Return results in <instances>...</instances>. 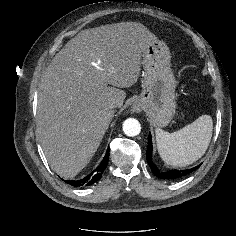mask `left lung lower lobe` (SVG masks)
<instances>
[{"label":"left lung lower lobe","instance_id":"obj_1","mask_svg":"<svg viewBox=\"0 0 236 236\" xmlns=\"http://www.w3.org/2000/svg\"><path fill=\"white\" fill-rule=\"evenodd\" d=\"M151 156H152V138H151V134L149 133L146 158H147V162H148L151 170L158 178H161L164 180H176V179H179V178L193 172L194 170H196L200 166L199 165L194 168L187 169V170H170V171L162 172V171H159L157 166L153 163Z\"/></svg>","mask_w":236,"mask_h":236}]
</instances>
